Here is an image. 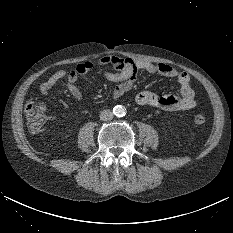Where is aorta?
Wrapping results in <instances>:
<instances>
[{
	"mask_svg": "<svg viewBox=\"0 0 233 233\" xmlns=\"http://www.w3.org/2000/svg\"><path fill=\"white\" fill-rule=\"evenodd\" d=\"M113 111H114V114L118 117H122L126 114L125 108L121 105H117Z\"/></svg>",
	"mask_w": 233,
	"mask_h": 233,
	"instance_id": "obj_1",
	"label": "aorta"
}]
</instances>
